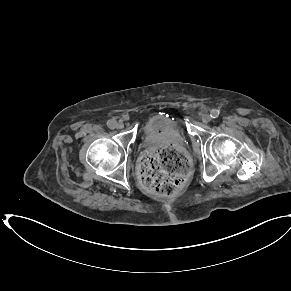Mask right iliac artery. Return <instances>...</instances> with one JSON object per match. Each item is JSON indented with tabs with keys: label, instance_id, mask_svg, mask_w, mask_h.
Returning a JSON list of instances; mask_svg holds the SVG:
<instances>
[{
	"label": "right iliac artery",
	"instance_id": "82829eb1",
	"mask_svg": "<svg viewBox=\"0 0 291 291\" xmlns=\"http://www.w3.org/2000/svg\"><path fill=\"white\" fill-rule=\"evenodd\" d=\"M116 124L117 122L115 120H109L107 121V126L110 128V129H114L116 128Z\"/></svg>",
	"mask_w": 291,
	"mask_h": 291
}]
</instances>
